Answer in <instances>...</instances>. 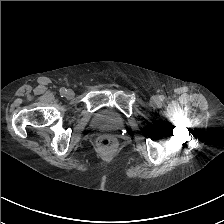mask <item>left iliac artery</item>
<instances>
[{
    "label": "left iliac artery",
    "mask_w": 224,
    "mask_h": 224,
    "mask_svg": "<svg viewBox=\"0 0 224 224\" xmlns=\"http://www.w3.org/2000/svg\"><path fill=\"white\" fill-rule=\"evenodd\" d=\"M165 97L163 95L159 96L160 101H164Z\"/></svg>",
    "instance_id": "44dca946"
}]
</instances>
